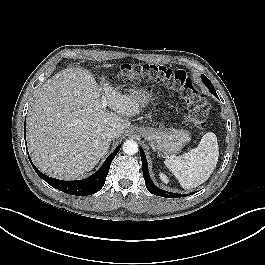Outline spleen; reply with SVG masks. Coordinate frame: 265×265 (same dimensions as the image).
Here are the masks:
<instances>
[{
  "instance_id": "obj_1",
  "label": "spleen",
  "mask_w": 265,
  "mask_h": 265,
  "mask_svg": "<svg viewBox=\"0 0 265 265\" xmlns=\"http://www.w3.org/2000/svg\"><path fill=\"white\" fill-rule=\"evenodd\" d=\"M219 156L217 137L207 132L199 145L188 153L169 157L164 163L175 175L183 188L189 189L203 184L213 173Z\"/></svg>"
}]
</instances>
